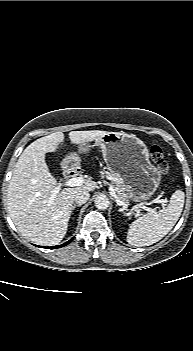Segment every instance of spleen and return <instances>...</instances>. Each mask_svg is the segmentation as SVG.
<instances>
[{"label":"spleen","mask_w":193,"mask_h":351,"mask_svg":"<svg viewBox=\"0 0 193 351\" xmlns=\"http://www.w3.org/2000/svg\"><path fill=\"white\" fill-rule=\"evenodd\" d=\"M185 194L176 190L166 207L158 212L151 210L131 223L127 233L130 245L142 247L152 245L161 240L178 221L184 206Z\"/></svg>","instance_id":"spleen-1"}]
</instances>
